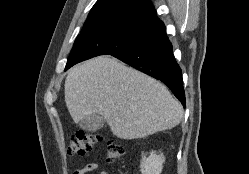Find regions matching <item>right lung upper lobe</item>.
Instances as JSON below:
<instances>
[{
	"mask_svg": "<svg viewBox=\"0 0 249 174\" xmlns=\"http://www.w3.org/2000/svg\"><path fill=\"white\" fill-rule=\"evenodd\" d=\"M159 22L151 0H98L82 30L102 29L116 24L151 27Z\"/></svg>",
	"mask_w": 249,
	"mask_h": 174,
	"instance_id": "right-lung-upper-lobe-1",
	"label": "right lung upper lobe"
}]
</instances>
